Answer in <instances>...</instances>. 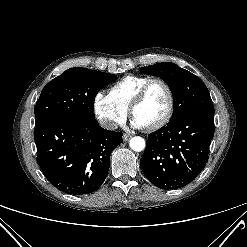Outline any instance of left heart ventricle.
<instances>
[{"mask_svg":"<svg viewBox=\"0 0 247 247\" xmlns=\"http://www.w3.org/2000/svg\"><path fill=\"white\" fill-rule=\"evenodd\" d=\"M168 108V95L160 84L153 85L144 101L135 109L134 116L141 120L145 126L159 121Z\"/></svg>","mask_w":247,"mask_h":247,"instance_id":"b2bd125f","label":"left heart ventricle"}]
</instances>
